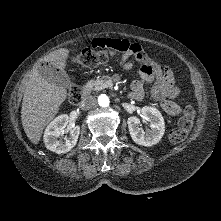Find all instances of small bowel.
<instances>
[{
  "mask_svg": "<svg viewBox=\"0 0 221 221\" xmlns=\"http://www.w3.org/2000/svg\"><path fill=\"white\" fill-rule=\"evenodd\" d=\"M94 48H113L122 53L120 65L124 69L133 67V60L141 63L139 79L132 81L131 88L134 100L144 98V84H151V96L158 101L164 112L169 115H178L181 105L174 101L179 94L174 75L168 68H162L149 56L139 44L125 39L96 38L92 41Z\"/></svg>",
  "mask_w": 221,
  "mask_h": 221,
  "instance_id": "1",
  "label": "small bowel"
}]
</instances>
